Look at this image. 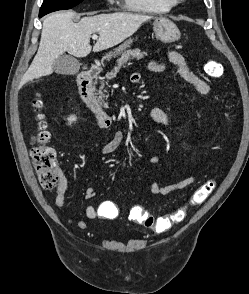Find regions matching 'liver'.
<instances>
[{"label": "liver", "mask_w": 249, "mask_h": 294, "mask_svg": "<svg viewBox=\"0 0 249 294\" xmlns=\"http://www.w3.org/2000/svg\"><path fill=\"white\" fill-rule=\"evenodd\" d=\"M72 11L56 12L43 21L41 39L36 56L21 79L25 83L53 73L55 60L64 52L72 56L86 57L92 50L99 52L111 48L133 35L150 16L115 12L83 17L74 23ZM99 33L93 46L90 37Z\"/></svg>", "instance_id": "obj_1"}]
</instances>
